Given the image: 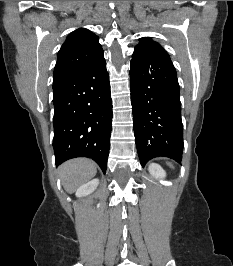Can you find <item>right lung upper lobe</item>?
Masks as SVG:
<instances>
[{"mask_svg":"<svg viewBox=\"0 0 233 266\" xmlns=\"http://www.w3.org/2000/svg\"><path fill=\"white\" fill-rule=\"evenodd\" d=\"M103 56L99 38L87 29L71 32L58 52L53 86L74 77Z\"/></svg>","mask_w":233,"mask_h":266,"instance_id":"obj_1","label":"right lung upper lobe"}]
</instances>
